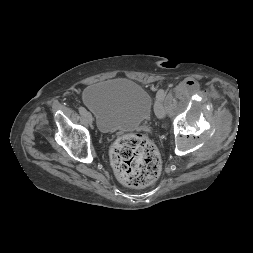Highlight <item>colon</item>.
<instances>
[{
	"label": "colon",
	"mask_w": 253,
	"mask_h": 253,
	"mask_svg": "<svg viewBox=\"0 0 253 253\" xmlns=\"http://www.w3.org/2000/svg\"><path fill=\"white\" fill-rule=\"evenodd\" d=\"M111 163L118 180L134 188L152 184L161 171L157 148L141 134L120 137L112 147Z\"/></svg>",
	"instance_id": "5ec220e1"
}]
</instances>
